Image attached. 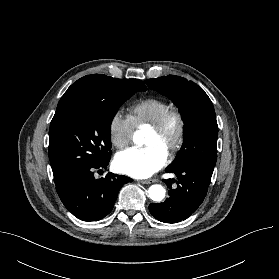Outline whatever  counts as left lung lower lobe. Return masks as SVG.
Instances as JSON below:
<instances>
[{
	"label": "left lung lower lobe",
	"instance_id": "0a47b994",
	"mask_svg": "<svg viewBox=\"0 0 279 279\" xmlns=\"http://www.w3.org/2000/svg\"><path fill=\"white\" fill-rule=\"evenodd\" d=\"M166 172L175 173L178 180H163L170 189L169 197L163 203H151L149 211L161 222L177 223L188 218L203 202L211 175L191 167L167 168ZM174 182L176 188H172Z\"/></svg>",
	"mask_w": 279,
	"mask_h": 279
}]
</instances>
